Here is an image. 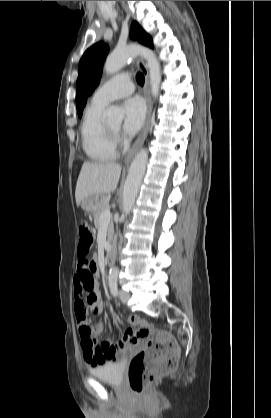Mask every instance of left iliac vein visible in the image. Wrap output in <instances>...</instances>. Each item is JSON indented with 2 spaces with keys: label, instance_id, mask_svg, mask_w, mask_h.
I'll list each match as a JSON object with an SVG mask.
<instances>
[{
  "label": "left iliac vein",
  "instance_id": "left-iliac-vein-1",
  "mask_svg": "<svg viewBox=\"0 0 271 418\" xmlns=\"http://www.w3.org/2000/svg\"><path fill=\"white\" fill-rule=\"evenodd\" d=\"M119 297H120V300L123 303H126L129 300V298H130V294L127 291H125V290H120L119 291Z\"/></svg>",
  "mask_w": 271,
  "mask_h": 418
}]
</instances>
